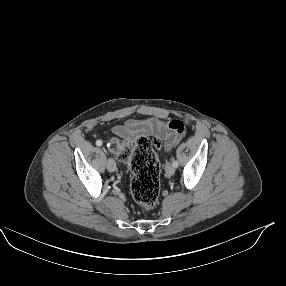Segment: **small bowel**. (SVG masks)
<instances>
[{
    "label": "small bowel",
    "mask_w": 286,
    "mask_h": 286,
    "mask_svg": "<svg viewBox=\"0 0 286 286\" xmlns=\"http://www.w3.org/2000/svg\"><path fill=\"white\" fill-rule=\"evenodd\" d=\"M180 120L165 121L160 118H146L143 120H129L113 129V133L128 140L142 136H153L164 142L167 151L173 149L181 139L183 131L178 126Z\"/></svg>",
    "instance_id": "small-bowel-1"
}]
</instances>
